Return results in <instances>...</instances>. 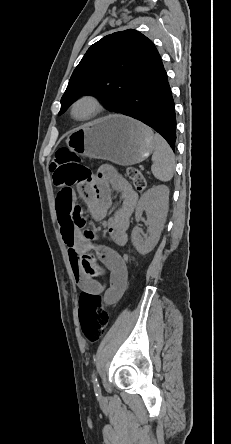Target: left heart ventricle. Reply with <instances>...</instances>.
<instances>
[{
	"label": "left heart ventricle",
	"mask_w": 231,
	"mask_h": 444,
	"mask_svg": "<svg viewBox=\"0 0 231 444\" xmlns=\"http://www.w3.org/2000/svg\"><path fill=\"white\" fill-rule=\"evenodd\" d=\"M92 105L88 101L80 102L75 108V115L77 117H84L92 112Z\"/></svg>",
	"instance_id": "1"
}]
</instances>
